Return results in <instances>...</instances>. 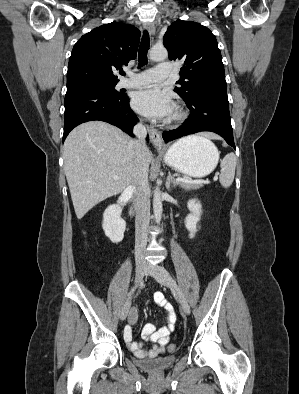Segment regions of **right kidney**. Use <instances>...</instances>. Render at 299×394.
Listing matches in <instances>:
<instances>
[{"label":"right kidney","mask_w":299,"mask_h":394,"mask_svg":"<svg viewBox=\"0 0 299 394\" xmlns=\"http://www.w3.org/2000/svg\"><path fill=\"white\" fill-rule=\"evenodd\" d=\"M121 212V207L113 204L108 206L103 213L102 228L113 243H119L124 238L126 222L121 218Z\"/></svg>","instance_id":"ca27d5eb"}]
</instances>
